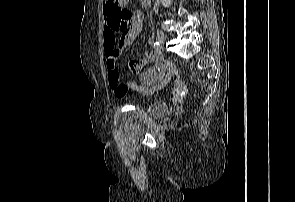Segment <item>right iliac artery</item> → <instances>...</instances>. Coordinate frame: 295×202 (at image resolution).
Instances as JSON below:
<instances>
[{
	"instance_id": "obj_1",
	"label": "right iliac artery",
	"mask_w": 295,
	"mask_h": 202,
	"mask_svg": "<svg viewBox=\"0 0 295 202\" xmlns=\"http://www.w3.org/2000/svg\"><path fill=\"white\" fill-rule=\"evenodd\" d=\"M153 46L156 50L160 49V43L158 41L154 42Z\"/></svg>"
}]
</instances>
